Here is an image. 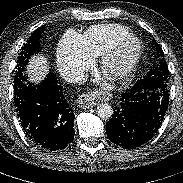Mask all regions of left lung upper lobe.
<instances>
[{
  "label": "left lung upper lobe",
  "instance_id": "left-lung-upper-lobe-1",
  "mask_svg": "<svg viewBox=\"0 0 183 183\" xmlns=\"http://www.w3.org/2000/svg\"><path fill=\"white\" fill-rule=\"evenodd\" d=\"M156 49L161 56L159 64L147 74L146 77L141 79L134 87L159 92H168L167 83L169 77V70L163 58V51L159 44L153 40Z\"/></svg>",
  "mask_w": 183,
  "mask_h": 183
}]
</instances>
